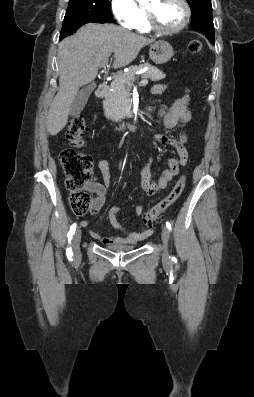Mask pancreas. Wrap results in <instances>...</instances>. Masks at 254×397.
<instances>
[{"instance_id":"cf45deb5","label":"pancreas","mask_w":254,"mask_h":397,"mask_svg":"<svg viewBox=\"0 0 254 397\" xmlns=\"http://www.w3.org/2000/svg\"><path fill=\"white\" fill-rule=\"evenodd\" d=\"M145 67L148 69L142 75L144 79L149 78L152 81H160L166 77L162 71L147 63L130 66L128 72L119 75L110 84V91L106 94L105 99L103 100V108L106 118L114 122H118L128 116L131 82L135 80L136 71Z\"/></svg>"}]
</instances>
